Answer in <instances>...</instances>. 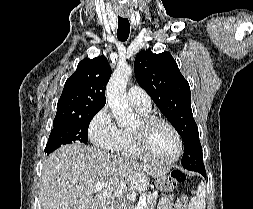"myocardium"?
<instances>
[{"label":"myocardium","instance_id":"obj_1","mask_svg":"<svg viewBox=\"0 0 253 209\" xmlns=\"http://www.w3.org/2000/svg\"><path fill=\"white\" fill-rule=\"evenodd\" d=\"M155 123H163L166 126H168L176 138L177 150H176L175 155L171 159H168V160L158 159L154 157L147 149L148 130ZM132 134L134 137L137 151L142 156V158L148 161H151L160 165H171L175 163L181 156L182 149H183V142H182L181 135L179 131L177 130V128L174 126V124L171 123L166 118L156 116V115H151V114L143 115L141 116L138 125L132 128Z\"/></svg>","mask_w":253,"mask_h":209}]
</instances>
